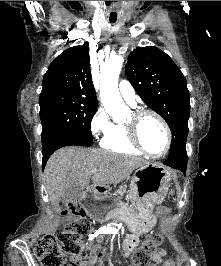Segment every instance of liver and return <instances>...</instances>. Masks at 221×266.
<instances>
[{
	"label": "liver",
	"instance_id": "obj_1",
	"mask_svg": "<svg viewBox=\"0 0 221 266\" xmlns=\"http://www.w3.org/2000/svg\"><path fill=\"white\" fill-rule=\"evenodd\" d=\"M148 161L131 155L117 154L99 148L64 147L49 158L44 170V182L49 200L54 206L71 185L86 187L90 183L91 170L94 186L118 184L130 177L138 167Z\"/></svg>",
	"mask_w": 221,
	"mask_h": 266
}]
</instances>
